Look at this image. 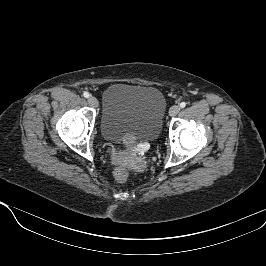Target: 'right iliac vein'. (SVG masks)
<instances>
[{
    "instance_id": "obj_1",
    "label": "right iliac vein",
    "mask_w": 266,
    "mask_h": 266,
    "mask_svg": "<svg viewBox=\"0 0 266 266\" xmlns=\"http://www.w3.org/2000/svg\"><path fill=\"white\" fill-rule=\"evenodd\" d=\"M88 103L91 107H97L98 106V100L93 96L88 98Z\"/></svg>"
}]
</instances>
